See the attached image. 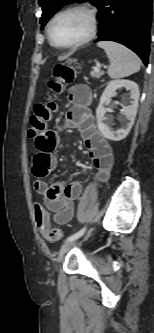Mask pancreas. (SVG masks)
Listing matches in <instances>:
<instances>
[{
    "label": "pancreas",
    "mask_w": 154,
    "mask_h": 333,
    "mask_svg": "<svg viewBox=\"0 0 154 333\" xmlns=\"http://www.w3.org/2000/svg\"><path fill=\"white\" fill-rule=\"evenodd\" d=\"M104 73L100 70H97L96 68H93V71H91L90 75L94 78H100Z\"/></svg>",
    "instance_id": "cf45deb5"
}]
</instances>
